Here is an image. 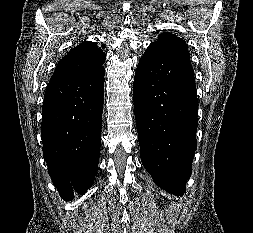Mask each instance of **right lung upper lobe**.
I'll use <instances>...</instances> for the list:
<instances>
[{
	"mask_svg": "<svg viewBox=\"0 0 253 233\" xmlns=\"http://www.w3.org/2000/svg\"><path fill=\"white\" fill-rule=\"evenodd\" d=\"M106 55L92 41H84L60 60L54 74L82 73L103 67Z\"/></svg>",
	"mask_w": 253,
	"mask_h": 233,
	"instance_id": "cb5924a9",
	"label": "right lung upper lobe"
}]
</instances>
